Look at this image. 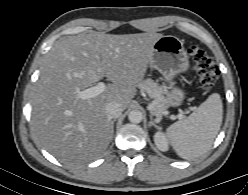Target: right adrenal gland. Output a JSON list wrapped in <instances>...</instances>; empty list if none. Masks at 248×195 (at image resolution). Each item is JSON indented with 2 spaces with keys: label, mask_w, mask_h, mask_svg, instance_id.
I'll return each instance as SVG.
<instances>
[{
  "label": "right adrenal gland",
  "mask_w": 248,
  "mask_h": 195,
  "mask_svg": "<svg viewBox=\"0 0 248 195\" xmlns=\"http://www.w3.org/2000/svg\"><path fill=\"white\" fill-rule=\"evenodd\" d=\"M116 120H112L111 121V126H112V133H114V122H115Z\"/></svg>",
  "instance_id": "right-adrenal-gland-1"
}]
</instances>
